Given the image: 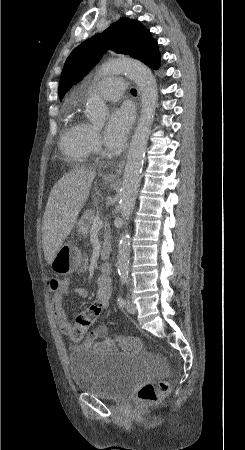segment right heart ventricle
<instances>
[{"mask_svg":"<svg viewBox=\"0 0 245 450\" xmlns=\"http://www.w3.org/2000/svg\"><path fill=\"white\" fill-rule=\"evenodd\" d=\"M92 126L76 117L64 130L60 147L63 153L72 156L78 162H84L91 152L90 136Z\"/></svg>","mask_w":245,"mask_h":450,"instance_id":"e07e8e85","label":"right heart ventricle"}]
</instances>
